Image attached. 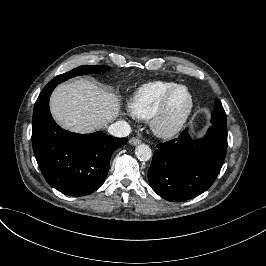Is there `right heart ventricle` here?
I'll return each instance as SVG.
<instances>
[{
	"label": "right heart ventricle",
	"instance_id": "1",
	"mask_svg": "<svg viewBox=\"0 0 266 266\" xmlns=\"http://www.w3.org/2000/svg\"><path fill=\"white\" fill-rule=\"evenodd\" d=\"M178 84L171 80H154L139 86L129 102L132 115L140 120L150 119L163 97Z\"/></svg>",
	"mask_w": 266,
	"mask_h": 266
}]
</instances>
